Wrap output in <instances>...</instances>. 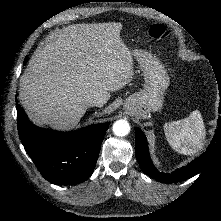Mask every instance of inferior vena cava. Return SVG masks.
Masks as SVG:
<instances>
[{"label":"inferior vena cava","instance_id":"inferior-vena-cava-1","mask_svg":"<svg viewBox=\"0 0 221 221\" xmlns=\"http://www.w3.org/2000/svg\"><path fill=\"white\" fill-rule=\"evenodd\" d=\"M103 104H104V101L100 98L89 99L87 101V106L88 107H91V106L101 107V106H103Z\"/></svg>","mask_w":221,"mask_h":221}]
</instances>
